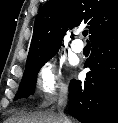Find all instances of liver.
I'll list each match as a JSON object with an SVG mask.
<instances>
[{
    "label": "liver",
    "instance_id": "liver-1",
    "mask_svg": "<svg viewBox=\"0 0 118 123\" xmlns=\"http://www.w3.org/2000/svg\"><path fill=\"white\" fill-rule=\"evenodd\" d=\"M72 123L71 120H69ZM5 123H63L58 113L38 112L30 115H15L8 118Z\"/></svg>",
    "mask_w": 118,
    "mask_h": 123
}]
</instances>
